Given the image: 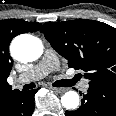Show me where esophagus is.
Wrapping results in <instances>:
<instances>
[{
  "label": "esophagus",
  "mask_w": 116,
  "mask_h": 116,
  "mask_svg": "<svg viewBox=\"0 0 116 116\" xmlns=\"http://www.w3.org/2000/svg\"><path fill=\"white\" fill-rule=\"evenodd\" d=\"M50 89L56 93H64L66 91L65 88H58V87H53V86H50Z\"/></svg>",
  "instance_id": "obj_1"
}]
</instances>
